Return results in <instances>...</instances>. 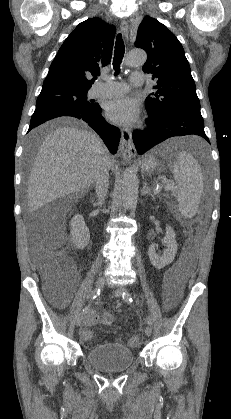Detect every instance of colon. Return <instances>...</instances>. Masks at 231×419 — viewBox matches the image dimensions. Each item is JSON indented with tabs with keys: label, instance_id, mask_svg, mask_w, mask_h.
Listing matches in <instances>:
<instances>
[{
	"label": "colon",
	"instance_id": "colon-1",
	"mask_svg": "<svg viewBox=\"0 0 231 419\" xmlns=\"http://www.w3.org/2000/svg\"><path fill=\"white\" fill-rule=\"evenodd\" d=\"M42 272L48 286L52 289L67 291L75 278V272L71 264L60 250L45 253ZM102 322L104 325L111 326L114 323V316L105 312L102 314ZM129 345L137 346L138 340L136 338L130 339Z\"/></svg>",
	"mask_w": 231,
	"mask_h": 419
}]
</instances>
